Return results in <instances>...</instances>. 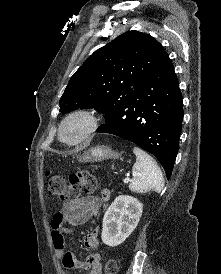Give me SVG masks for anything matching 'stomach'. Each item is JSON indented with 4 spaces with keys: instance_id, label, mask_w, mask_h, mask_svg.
I'll return each mask as SVG.
<instances>
[{
    "instance_id": "0dacf381",
    "label": "stomach",
    "mask_w": 221,
    "mask_h": 274,
    "mask_svg": "<svg viewBox=\"0 0 221 274\" xmlns=\"http://www.w3.org/2000/svg\"><path fill=\"white\" fill-rule=\"evenodd\" d=\"M120 154L107 146H95L79 156L81 162H101L107 159H118Z\"/></svg>"
}]
</instances>
